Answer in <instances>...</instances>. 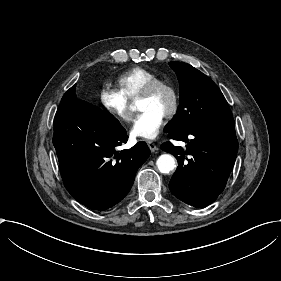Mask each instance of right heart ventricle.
<instances>
[{
	"mask_svg": "<svg viewBox=\"0 0 281 281\" xmlns=\"http://www.w3.org/2000/svg\"><path fill=\"white\" fill-rule=\"evenodd\" d=\"M157 79H159V76L155 72L145 67L137 66L119 76L117 86L119 92L127 101L134 102L146 86Z\"/></svg>",
	"mask_w": 281,
	"mask_h": 281,
	"instance_id": "obj_1",
	"label": "right heart ventricle"
}]
</instances>
